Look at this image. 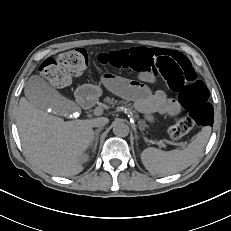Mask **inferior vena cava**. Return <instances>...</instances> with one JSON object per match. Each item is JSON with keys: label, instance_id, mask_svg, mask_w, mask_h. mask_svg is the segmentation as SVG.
Wrapping results in <instances>:
<instances>
[{"label": "inferior vena cava", "instance_id": "602c4592", "mask_svg": "<svg viewBox=\"0 0 231 231\" xmlns=\"http://www.w3.org/2000/svg\"><path fill=\"white\" fill-rule=\"evenodd\" d=\"M106 123L107 122L104 118H97L93 120V126L98 128H102Z\"/></svg>", "mask_w": 231, "mask_h": 231}]
</instances>
